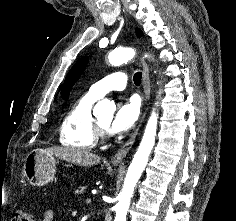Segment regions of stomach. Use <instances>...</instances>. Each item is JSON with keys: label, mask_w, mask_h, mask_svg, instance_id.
<instances>
[{"label": "stomach", "mask_w": 236, "mask_h": 221, "mask_svg": "<svg viewBox=\"0 0 236 221\" xmlns=\"http://www.w3.org/2000/svg\"><path fill=\"white\" fill-rule=\"evenodd\" d=\"M56 164L53 155L42 149H36L26 156L22 173L30 184L43 186L54 179Z\"/></svg>", "instance_id": "0dacf381"}]
</instances>
